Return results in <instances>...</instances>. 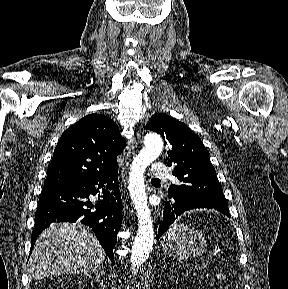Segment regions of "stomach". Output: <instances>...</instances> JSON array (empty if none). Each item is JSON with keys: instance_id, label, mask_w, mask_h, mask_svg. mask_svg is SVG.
<instances>
[{"instance_id": "1", "label": "stomach", "mask_w": 288, "mask_h": 289, "mask_svg": "<svg viewBox=\"0 0 288 289\" xmlns=\"http://www.w3.org/2000/svg\"><path fill=\"white\" fill-rule=\"evenodd\" d=\"M162 247L168 256L186 260L201 256L206 251L207 244L201 231L180 225L174 234L165 235Z\"/></svg>"}]
</instances>
